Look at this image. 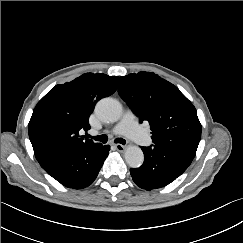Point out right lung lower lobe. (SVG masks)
<instances>
[{"label":"right lung lower lobe","mask_w":243,"mask_h":243,"mask_svg":"<svg viewBox=\"0 0 243 243\" xmlns=\"http://www.w3.org/2000/svg\"><path fill=\"white\" fill-rule=\"evenodd\" d=\"M109 150V145L95 144L84 149L54 151L37 160L50 176L65 187L81 189L96 179Z\"/></svg>","instance_id":"1"}]
</instances>
